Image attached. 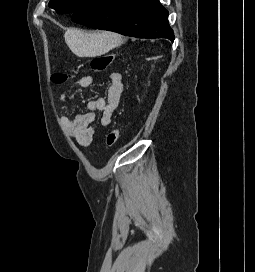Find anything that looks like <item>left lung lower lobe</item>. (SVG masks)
I'll use <instances>...</instances> for the list:
<instances>
[{
    "label": "left lung lower lobe",
    "instance_id": "obj_1",
    "mask_svg": "<svg viewBox=\"0 0 255 272\" xmlns=\"http://www.w3.org/2000/svg\"><path fill=\"white\" fill-rule=\"evenodd\" d=\"M72 21L126 36L174 41L168 11L159 0H90L73 13Z\"/></svg>",
    "mask_w": 255,
    "mask_h": 272
}]
</instances>
